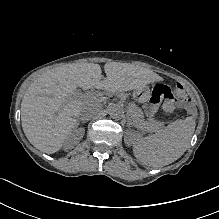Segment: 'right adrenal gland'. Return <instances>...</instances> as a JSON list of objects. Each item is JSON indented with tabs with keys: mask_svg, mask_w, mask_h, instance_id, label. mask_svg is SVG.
Masks as SVG:
<instances>
[{
	"mask_svg": "<svg viewBox=\"0 0 219 219\" xmlns=\"http://www.w3.org/2000/svg\"><path fill=\"white\" fill-rule=\"evenodd\" d=\"M82 123H84V121H82ZM78 125H79V120H77V124H76V126L74 128L75 131H81L82 130V128H78Z\"/></svg>",
	"mask_w": 219,
	"mask_h": 219,
	"instance_id": "obj_1",
	"label": "right adrenal gland"
}]
</instances>
